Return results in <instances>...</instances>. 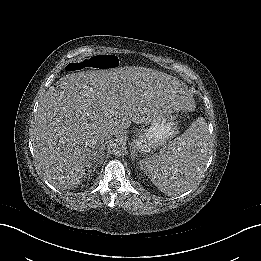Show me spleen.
Segmentation results:
<instances>
[{
    "label": "spleen",
    "mask_w": 261,
    "mask_h": 261,
    "mask_svg": "<svg viewBox=\"0 0 261 261\" xmlns=\"http://www.w3.org/2000/svg\"><path fill=\"white\" fill-rule=\"evenodd\" d=\"M203 148L202 141L197 142V136L189 133L183 141L170 144L167 151L142 159L140 166L162 192L171 194L179 187L183 174H194L195 169L203 163L206 155L201 154L204 153Z\"/></svg>",
    "instance_id": "obj_1"
}]
</instances>
